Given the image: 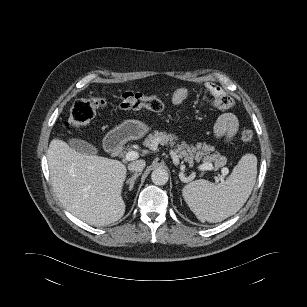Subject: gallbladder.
I'll use <instances>...</instances> for the list:
<instances>
[{"instance_id": "1", "label": "gallbladder", "mask_w": 307, "mask_h": 307, "mask_svg": "<svg viewBox=\"0 0 307 307\" xmlns=\"http://www.w3.org/2000/svg\"><path fill=\"white\" fill-rule=\"evenodd\" d=\"M69 145L76 150L77 152L88 154V155H94L97 154V148L92 145L91 143L78 139V138H72L69 139Z\"/></svg>"}]
</instances>
